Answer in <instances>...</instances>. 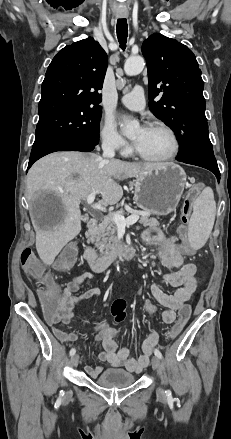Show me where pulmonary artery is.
<instances>
[{"mask_svg":"<svg viewBox=\"0 0 231 439\" xmlns=\"http://www.w3.org/2000/svg\"><path fill=\"white\" fill-rule=\"evenodd\" d=\"M121 102L125 107L133 111H140L145 107L144 91L141 86H136L132 91L121 97Z\"/></svg>","mask_w":231,"mask_h":439,"instance_id":"e3ab8cb5","label":"pulmonary artery"}]
</instances>
